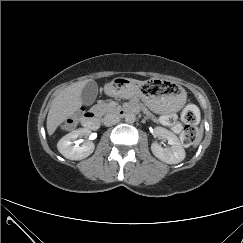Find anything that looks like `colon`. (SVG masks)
Listing matches in <instances>:
<instances>
[{
    "label": "colon",
    "mask_w": 243,
    "mask_h": 243,
    "mask_svg": "<svg viewBox=\"0 0 243 243\" xmlns=\"http://www.w3.org/2000/svg\"><path fill=\"white\" fill-rule=\"evenodd\" d=\"M163 122L171 126L172 130L180 135V140L183 145L189 146L194 143L197 137V124L199 121V110L193 104L185 106L181 113V121H177L173 114L163 116ZM75 123L72 117L66 121L65 126L71 128Z\"/></svg>",
    "instance_id": "5ec220e1"
}]
</instances>
